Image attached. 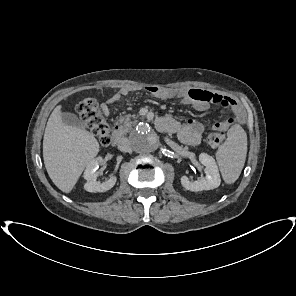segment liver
I'll use <instances>...</instances> for the list:
<instances>
[{
  "label": "liver",
  "instance_id": "obj_1",
  "mask_svg": "<svg viewBox=\"0 0 296 296\" xmlns=\"http://www.w3.org/2000/svg\"><path fill=\"white\" fill-rule=\"evenodd\" d=\"M61 105L51 113L44 133L43 159L53 183L69 193L84 168L99 152V143L89 131L66 125Z\"/></svg>",
  "mask_w": 296,
  "mask_h": 296
}]
</instances>
